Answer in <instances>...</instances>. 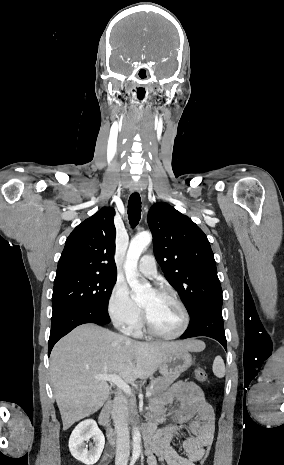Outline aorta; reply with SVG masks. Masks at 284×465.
Masks as SVG:
<instances>
[{
  "label": "aorta",
  "instance_id": "obj_1",
  "mask_svg": "<svg viewBox=\"0 0 284 465\" xmlns=\"http://www.w3.org/2000/svg\"><path fill=\"white\" fill-rule=\"evenodd\" d=\"M152 237L148 232H142L136 235L130 242L129 249L126 255L125 261V275L128 284L135 293V300L137 302L145 301L152 293V289L148 285L140 284L138 281L137 265L138 260L143 250L149 245ZM141 453V435L138 428L133 431V457L138 458Z\"/></svg>",
  "mask_w": 284,
  "mask_h": 465
}]
</instances>
